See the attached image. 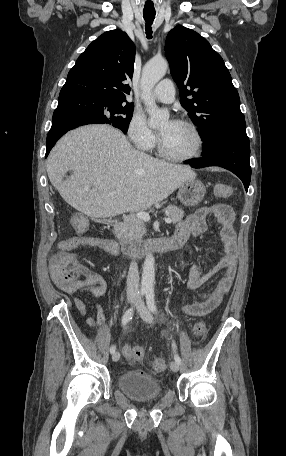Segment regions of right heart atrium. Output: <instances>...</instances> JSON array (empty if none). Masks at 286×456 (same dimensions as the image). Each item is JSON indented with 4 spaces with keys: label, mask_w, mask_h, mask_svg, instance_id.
<instances>
[{
    "label": "right heart atrium",
    "mask_w": 286,
    "mask_h": 456,
    "mask_svg": "<svg viewBox=\"0 0 286 456\" xmlns=\"http://www.w3.org/2000/svg\"><path fill=\"white\" fill-rule=\"evenodd\" d=\"M127 134L132 144L141 150L151 149L156 142L155 133L149 127L144 114L139 111L132 114L127 126Z\"/></svg>",
    "instance_id": "d8ad5b80"
}]
</instances>
